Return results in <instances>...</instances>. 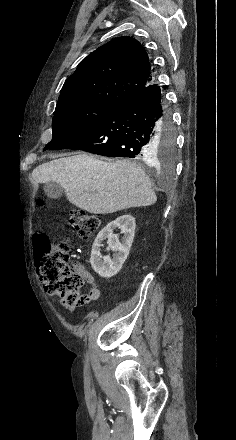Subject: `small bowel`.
Returning a JSON list of instances; mask_svg holds the SVG:
<instances>
[{"label":"small bowel","mask_w":236,"mask_h":440,"mask_svg":"<svg viewBox=\"0 0 236 440\" xmlns=\"http://www.w3.org/2000/svg\"><path fill=\"white\" fill-rule=\"evenodd\" d=\"M75 265L83 274L85 281L90 285V289L88 293L85 295V303H89L97 300L100 297L101 291L98 285L96 284L93 275L87 270H85L81 264L76 263Z\"/></svg>","instance_id":"small-bowel-1"}]
</instances>
